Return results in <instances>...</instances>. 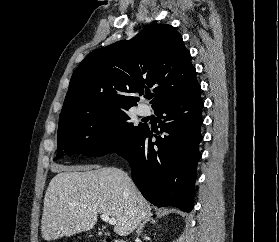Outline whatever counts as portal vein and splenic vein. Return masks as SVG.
Listing matches in <instances>:
<instances>
[{"label":"portal vein and splenic vein","instance_id":"1","mask_svg":"<svg viewBox=\"0 0 279 242\" xmlns=\"http://www.w3.org/2000/svg\"><path fill=\"white\" fill-rule=\"evenodd\" d=\"M101 219L106 222V223H109L110 225H115L116 224V219L113 218V217H110L109 215L103 213L101 214Z\"/></svg>","mask_w":279,"mask_h":242}]
</instances>
